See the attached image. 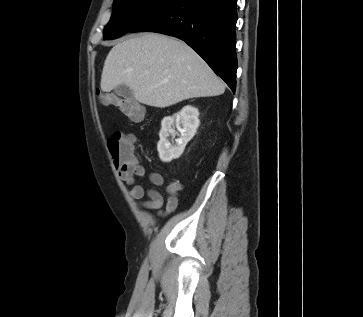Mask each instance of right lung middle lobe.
Wrapping results in <instances>:
<instances>
[{
	"label": "right lung middle lobe",
	"mask_w": 363,
	"mask_h": 317,
	"mask_svg": "<svg viewBox=\"0 0 363 317\" xmlns=\"http://www.w3.org/2000/svg\"><path fill=\"white\" fill-rule=\"evenodd\" d=\"M176 1L115 0L112 17L104 28V39L122 36Z\"/></svg>",
	"instance_id": "1"
}]
</instances>
